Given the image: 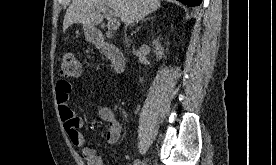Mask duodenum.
I'll list each match as a JSON object with an SVG mask.
<instances>
[{
    "mask_svg": "<svg viewBox=\"0 0 276 165\" xmlns=\"http://www.w3.org/2000/svg\"><path fill=\"white\" fill-rule=\"evenodd\" d=\"M90 39L92 43L100 48L110 61L111 68L115 73H121L124 69L125 60L118 46L108 42L101 32H94Z\"/></svg>",
    "mask_w": 276,
    "mask_h": 165,
    "instance_id": "410a0bca",
    "label": "duodenum"
}]
</instances>
